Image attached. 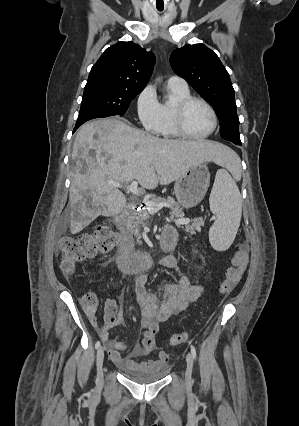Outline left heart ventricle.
<instances>
[{
  "label": "left heart ventricle",
  "instance_id": "left-heart-ventricle-1",
  "mask_svg": "<svg viewBox=\"0 0 299 426\" xmlns=\"http://www.w3.org/2000/svg\"><path fill=\"white\" fill-rule=\"evenodd\" d=\"M185 124L188 131L193 134H206L213 126L212 115L203 104L193 103L186 112Z\"/></svg>",
  "mask_w": 299,
  "mask_h": 426
}]
</instances>
